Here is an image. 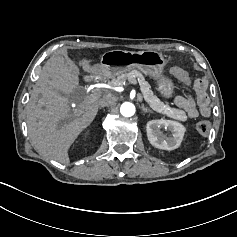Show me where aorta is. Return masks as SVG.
<instances>
[{
  "label": "aorta",
  "mask_w": 237,
  "mask_h": 237,
  "mask_svg": "<svg viewBox=\"0 0 237 237\" xmlns=\"http://www.w3.org/2000/svg\"><path fill=\"white\" fill-rule=\"evenodd\" d=\"M120 113L125 117H131L135 114V106L130 102H124L120 107Z\"/></svg>",
  "instance_id": "1"
}]
</instances>
